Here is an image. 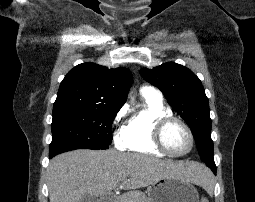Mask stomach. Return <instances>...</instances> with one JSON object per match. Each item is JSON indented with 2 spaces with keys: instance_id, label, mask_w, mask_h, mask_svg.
Here are the masks:
<instances>
[{
  "instance_id": "0dacf381",
  "label": "stomach",
  "mask_w": 255,
  "mask_h": 202,
  "mask_svg": "<svg viewBox=\"0 0 255 202\" xmlns=\"http://www.w3.org/2000/svg\"><path fill=\"white\" fill-rule=\"evenodd\" d=\"M150 202H199V196L190 182L178 177H165L147 188Z\"/></svg>"
}]
</instances>
